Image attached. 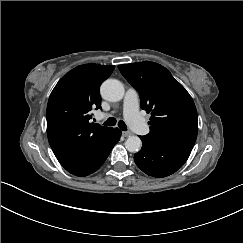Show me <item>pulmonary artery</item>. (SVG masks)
<instances>
[{
  "label": "pulmonary artery",
  "instance_id": "1",
  "mask_svg": "<svg viewBox=\"0 0 243 243\" xmlns=\"http://www.w3.org/2000/svg\"><path fill=\"white\" fill-rule=\"evenodd\" d=\"M140 114V98L133 87H128L123 98V117L126 122L136 119ZM95 118L102 120L106 118L103 112H96Z\"/></svg>",
  "mask_w": 243,
  "mask_h": 243
}]
</instances>
